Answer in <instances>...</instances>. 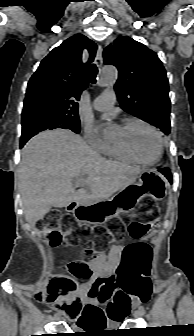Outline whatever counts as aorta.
Instances as JSON below:
<instances>
[{"mask_svg":"<svg viewBox=\"0 0 194 336\" xmlns=\"http://www.w3.org/2000/svg\"><path fill=\"white\" fill-rule=\"evenodd\" d=\"M118 72L114 66H105L100 72V76L97 84L101 87L113 85L117 80ZM102 134L105 138H108L112 134L110 127L105 126L102 128Z\"/></svg>","mask_w":194,"mask_h":336,"instance_id":"1","label":"aorta"}]
</instances>
